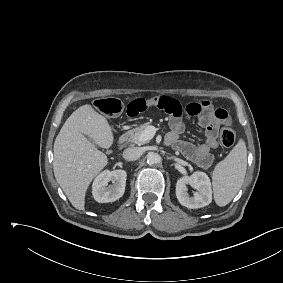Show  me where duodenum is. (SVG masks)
I'll list each match as a JSON object with an SVG mask.
<instances>
[{
  "instance_id": "duodenum-1",
  "label": "duodenum",
  "mask_w": 283,
  "mask_h": 283,
  "mask_svg": "<svg viewBox=\"0 0 283 283\" xmlns=\"http://www.w3.org/2000/svg\"><path fill=\"white\" fill-rule=\"evenodd\" d=\"M131 135V131L124 132L118 139V147L122 148Z\"/></svg>"
}]
</instances>
